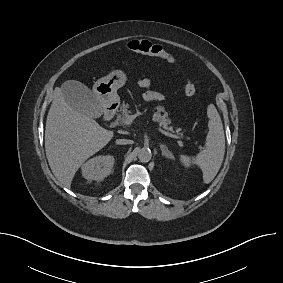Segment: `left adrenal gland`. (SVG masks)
<instances>
[{
  "mask_svg": "<svg viewBox=\"0 0 283 283\" xmlns=\"http://www.w3.org/2000/svg\"><path fill=\"white\" fill-rule=\"evenodd\" d=\"M160 148H161V151H162V156H164L168 159H171V160L174 159L172 153L168 150L166 145L160 144Z\"/></svg>",
  "mask_w": 283,
  "mask_h": 283,
  "instance_id": "obj_1",
  "label": "left adrenal gland"
}]
</instances>
